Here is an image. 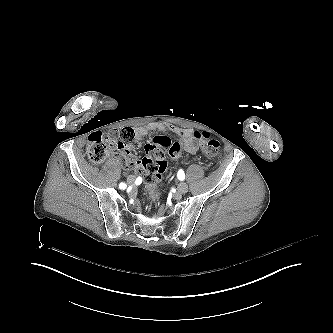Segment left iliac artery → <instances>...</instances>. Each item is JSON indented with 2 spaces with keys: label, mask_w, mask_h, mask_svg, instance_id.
<instances>
[{
  "label": "left iliac artery",
  "mask_w": 333,
  "mask_h": 333,
  "mask_svg": "<svg viewBox=\"0 0 333 333\" xmlns=\"http://www.w3.org/2000/svg\"><path fill=\"white\" fill-rule=\"evenodd\" d=\"M177 177L179 180H184L185 178V174L183 170H179V172L177 173Z\"/></svg>",
  "instance_id": "left-iliac-artery-1"
}]
</instances>
